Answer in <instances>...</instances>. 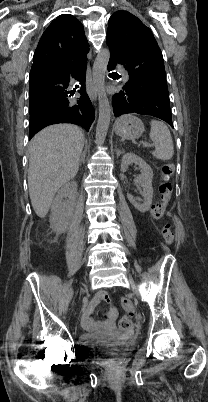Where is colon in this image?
<instances>
[{"instance_id": "obj_1", "label": "colon", "mask_w": 208, "mask_h": 402, "mask_svg": "<svg viewBox=\"0 0 208 402\" xmlns=\"http://www.w3.org/2000/svg\"><path fill=\"white\" fill-rule=\"evenodd\" d=\"M175 172V165L172 162H165L160 166V186H159V197L152 208V217L160 221L165 213V210L171 200V195L173 191V184L171 178ZM162 238L168 244L171 245L175 241V234L171 230L169 225H164L162 227ZM121 305L126 309L125 314L120 318L119 325L122 328H127L132 323V317L135 313L133 304L129 297H122L120 300Z\"/></svg>"}]
</instances>
